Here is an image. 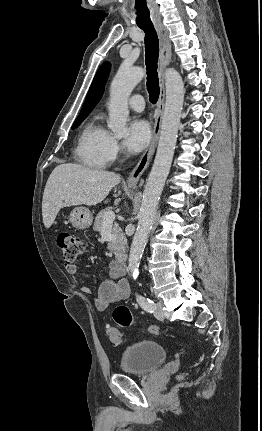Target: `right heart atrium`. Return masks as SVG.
I'll list each match as a JSON object with an SVG mask.
<instances>
[{
    "instance_id": "1",
    "label": "right heart atrium",
    "mask_w": 262,
    "mask_h": 431,
    "mask_svg": "<svg viewBox=\"0 0 262 431\" xmlns=\"http://www.w3.org/2000/svg\"><path fill=\"white\" fill-rule=\"evenodd\" d=\"M120 151L121 147L119 142L109 134L105 144V155L107 162L114 161L120 154Z\"/></svg>"
}]
</instances>
